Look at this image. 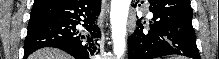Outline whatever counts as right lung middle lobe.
<instances>
[{
  "label": "right lung middle lobe",
  "instance_id": "1",
  "mask_svg": "<svg viewBox=\"0 0 219 59\" xmlns=\"http://www.w3.org/2000/svg\"><path fill=\"white\" fill-rule=\"evenodd\" d=\"M45 19H46V16L37 14V15L31 16L29 24L37 23V22L43 21Z\"/></svg>",
  "mask_w": 219,
  "mask_h": 59
}]
</instances>
